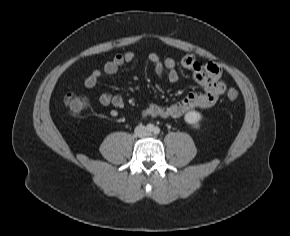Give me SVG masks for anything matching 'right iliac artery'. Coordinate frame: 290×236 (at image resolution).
I'll return each instance as SVG.
<instances>
[{
    "label": "right iliac artery",
    "mask_w": 290,
    "mask_h": 236,
    "mask_svg": "<svg viewBox=\"0 0 290 236\" xmlns=\"http://www.w3.org/2000/svg\"><path fill=\"white\" fill-rule=\"evenodd\" d=\"M146 128H147V130L150 131V132L154 130V126H153V124H148Z\"/></svg>",
    "instance_id": "1"
}]
</instances>
